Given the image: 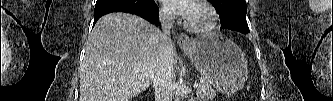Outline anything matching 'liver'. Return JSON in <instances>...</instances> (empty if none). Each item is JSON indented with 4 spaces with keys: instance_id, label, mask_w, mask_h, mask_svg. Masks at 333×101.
Wrapping results in <instances>:
<instances>
[{
    "instance_id": "6515ba94",
    "label": "liver",
    "mask_w": 333,
    "mask_h": 101,
    "mask_svg": "<svg viewBox=\"0 0 333 101\" xmlns=\"http://www.w3.org/2000/svg\"><path fill=\"white\" fill-rule=\"evenodd\" d=\"M161 35L135 15L100 18L80 70V101H130L145 91L153 82Z\"/></svg>"
}]
</instances>
